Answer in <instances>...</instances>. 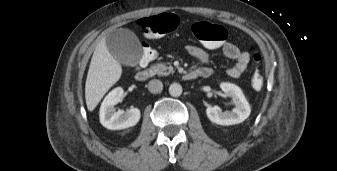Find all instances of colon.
<instances>
[{"instance_id":"obj_1","label":"colon","mask_w":337,"mask_h":171,"mask_svg":"<svg viewBox=\"0 0 337 171\" xmlns=\"http://www.w3.org/2000/svg\"><path fill=\"white\" fill-rule=\"evenodd\" d=\"M179 24V18L173 14L149 16L138 21V25L142 28L145 35L150 38H157L166 33L172 32L178 28ZM192 33L195 38L207 43L209 46H219L227 38V30L224 26L204 21L196 22L192 27ZM141 50L143 52V63L151 61L157 55V50L154 47L153 42L150 40L142 42ZM251 52L255 64L251 83L255 89H260L264 83V77L260 67L262 58L255 48H252Z\"/></svg>"}]
</instances>
